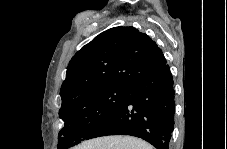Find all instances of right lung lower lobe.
Here are the masks:
<instances>
[{
  "label": "right lung lower lobe",
  "instance_id": "1",
  "mask_svg": "<svg viewBox=\"0 0 227 149\" xmlns=\"http://www.w3.org/2000/svg\"><path fill=\"white\" fill-rule=\"evenodd\" d=\"M167 64L131 87L126 101L86 138L131 135L168 149L174 129V88Z\"/></svg>",
  "mask_w": 227,
  "mask_h": 149
}]
</instances>
